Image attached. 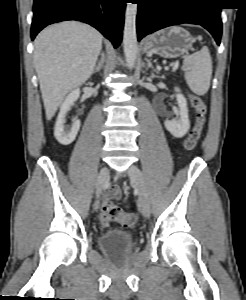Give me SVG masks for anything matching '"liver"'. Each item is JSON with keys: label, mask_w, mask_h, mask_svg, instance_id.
Listing matches in <instances>:
<instances>
[{"label": "liver", "mask_w": 246, "mask_h": 300, "mask_svg": "<svg viewBox=\"0 0 246 300\" xmlns=\"http://www.w3.org/2000/svg\"><path fill=\"white\" fill-rule=\"evenodd\" d=\"M34 46V66L46 118L51 120L67 93L92 75L102 35L87 24L65 21L40 32Z\"/></svg>", "instance_id": "liver-1"}]
</instances>
